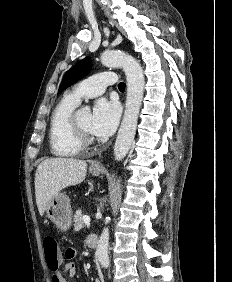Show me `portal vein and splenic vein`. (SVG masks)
Segmentation results:
<instances>
[{"label":"portal vein and splenic vein","mask_w":232,"mask_h":282,"mask_svg":"<svg viewBox=\"0 0 232 282\" xmlns=\"http://www.w3.org/2000/svg\"><path fill=\"white\" fill-rule=\"evenodd\" d=\"M83 222H84L85 224H88V223L90 222V217H89L88 215H84V216H83Z\"/></svg>","instance_id":"portal-vein-and-splenic-vein-1"}]
</instances>
